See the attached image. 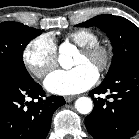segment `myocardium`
<instances>
[{
    "label": "myocardium",
    "instance_id": "obj_1",
    "mask_svg": "<svg viewBox=\"0 0 139 139\" xmlns=\"http://www.w3.org/2000/svg\"><path fill=\"white\" fill-rule=\"evenodd\" d=\"M80 51L96 62L98 73H104L109 69L112 61V51L108 45L98 41L81 47Z\"/></svg>",
    "mask_w": 139,
    "mask_h": 139
}]
</instances>
